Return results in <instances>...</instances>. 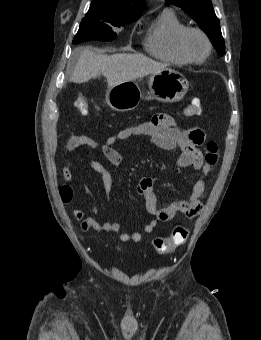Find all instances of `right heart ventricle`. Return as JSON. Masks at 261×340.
<instances>
[{
    "instance_id": "right-heart-ventricle-1",
    "label": "right heart ventricle",
    "mask_w": 261,
    "mask_h": 340,
    "mask_svg": "<svg viewBox=\"0 0 261 340\" xmlns=\"http://www.w3.org/2000/svg\"><path fill=\"white\" fill-rule=\"evenodd\" d=\"M186 24L172 9H164L146 31L143 46L153 57L178 66L188 65L178 51L176 41Z\"/></svg>"
}]
</instances>
